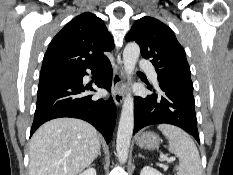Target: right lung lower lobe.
Returning a JSON list of instances; mask_svg holds the SVG:
<instances>
[{"mask_svg": "<svg viewBox=\"0 0 233 175\" xmlns=\"http://www.w3.org/2000/svg\"><path fill=\"white\" fill-rule=\"evenodd\" d=\"M96 75L95 84L100 88L111 90L112 67L106 58L102 62L89 67ZM86 69L65 78L39 85L37 104L30 136L44 122L60 117H73L85 120L99 130L109 143L115 126L116 109L113 98L108 100L92 99L85 95L83 77ZM92 91L93 88H91Z\"/></svg>", "mask_w": 233, "mask_h": 175, "instance_id": "right-lung-lower-lobe-1", "label": "right lung lower lobe"}]
</instances>
